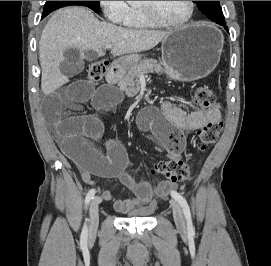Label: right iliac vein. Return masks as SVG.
Returning a JSON list of instances; mask_svg holds the SVG:
<instances>
[{
  "instance_id": "63e3f726",
  "label": "right iliac vein",
  "mask_w": 271,
  "mask_h": 266,
  "mask_svg": "<svg viewBox=\"0 0 271 266\" xmlns=\"http://www.w3.org/2000/svg\"><path fill=\"white\" fill-rule=\"evenodd\" d=\"M102 199L99 196H96L89 207V214H90V227H89V237L95 236L98 230V223H99V205Z\"/></svg>"
}]
</instances>
